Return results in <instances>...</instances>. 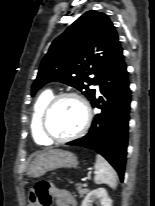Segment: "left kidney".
Listing matches in <instances>:
<instances>
[{"label": "left kidney", "instance_id": "5707ae66", "mask_svg": "<svg viewBox=\"0 0 155 206\" xmlns=\"http://www.w3.org/2000/svg\"><path fill=\"white\" fill-rule=\"evenodd\" d=\"M94 203L101 206H112V200L108 196L106 189L98 188L90 191L84 198L81 206H92Z\"/></svg>", "mask_w": 155, "mask_h": 206}]
</instances>
